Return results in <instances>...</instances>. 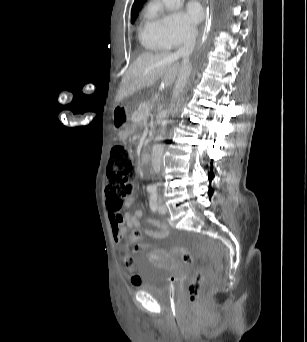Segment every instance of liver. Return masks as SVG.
I'll return each mask as SVG.
<instances>
[{
  "mask_svg": "<svg viewBox=\"0 0 307 342\" xmlns=\"http://www.w3.org/2000/svg\"><path fill=\"white\" fill-rule=\"evenodd\" d=\"M172 56L171 52H161V54L144 52V54H140L125 72L120 82L116 102H121L124 98L132 96L138 90L149 88L152 84H156L160 78H163L165 86L173 84L177 74H179L181 64L172 60Z\"/></svg>",
  "mask_w": 307,
  "mask_h": 342,
  "instance_id": "liver-1",
  "label": "liver"
}]
</instances>
